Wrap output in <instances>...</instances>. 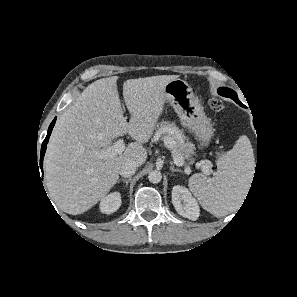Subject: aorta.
Returning <instances> with one entry per match:
<instances>
[{
  "label": "aorta",
  "instance_id": "obj_1",
  "mask_svg": "<svg viewBox=\"0 0 297 297\" xmlns=\"http://www.w3.org/2000/svg\"><path fill=\"white\" fill-rule=\"evenodd\" d=\"M148 179L151 183H159L162 179V174L159 170H153L148 174Z\"/></svg>",
  "mask_w": 297,
  "mask_h": 297
}]
</instances>
